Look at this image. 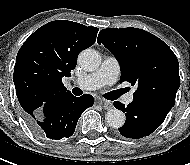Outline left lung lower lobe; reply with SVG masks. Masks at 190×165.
Listing matches in <instances>:
<instances>
[{"instance_id": "0a47b994", "label": "left lung lower lobe", "mask_w": 190, "mask_h": 165, "mask_svg": "<svg viewBox=\"0 0 190 165\" xmlns=\"http://www.w3.org/2000/svg\"><path fill=\"white\" fill-rule=\"evenodd\" d=\"M114 106L126 115L125 124L118 129L120 134L133 139L142 138L154 132L172 108L161 102L138 100H133L127 107L115 101Z\"/></svg>"}]
</instances>
